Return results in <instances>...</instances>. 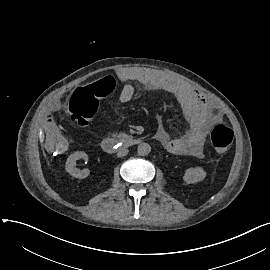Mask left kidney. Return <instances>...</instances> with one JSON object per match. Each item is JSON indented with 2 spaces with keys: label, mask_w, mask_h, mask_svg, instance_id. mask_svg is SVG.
Returning a JSON list of instances; mask_svg holds the SVG:
<instances>
[{
  "label": "left kidney",
  "mask_w": 270,
  "mask_h": 270,
  "mask_svg": "<svg viewBox=\"0 0 270 270\" xmlns=\"http://www.w3.org/2000/svg\"><path fill=\"white\" fill-rule=\"evenodd\" d=\"M206 177V172L201 167L189 168L186 170L183 180L187 184L202 181Z\"/></svg>",
  "instance_id": "obj_1"
}]
</instances>
